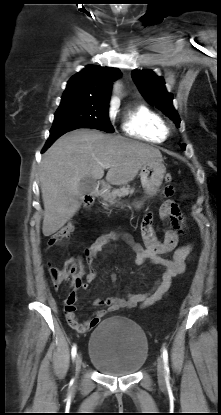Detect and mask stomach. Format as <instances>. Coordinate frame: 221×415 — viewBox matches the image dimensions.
I'll use <instances>...</instances> for the list:
<instances>
[{"label":"stomach","mask_w":221,"mask_h":415,"mask_svg":"<svg viewBox=\"0 0 221 415\" xmlns=\"http://www.w3.org/2000/svg\"><path fill=\"white\" fill-rule=\"evenodd\" d=\"M165 172L166 168L162 161H151L143 165L140 171V180L148 196H153L157 193L162 185ZM132 205L139 209L143 202H134Z\"/></svg>","instance_id":"obj_1"}]
</instances>
